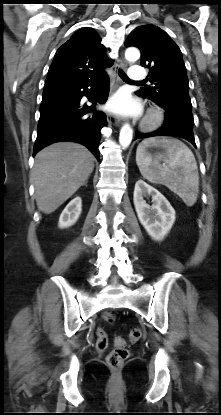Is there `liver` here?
<instances>
[{
  "instance_id": "liver-1",
  "label": "liver",
  "mask_w": 221,
  "mask_h": 415,
  "mask_svg": "<svg viewBox=\"0 0 221 415\" xmlns=\"http://www.w3.org/2000/svg\"><path fill=\"white\" fill-rule=\"evenodd\" d=\"M93 168L94 156L80 144L59 142L41 150L33 167L38 209L54 212L85 184Z\"/></svg>"
}]
</instances>
